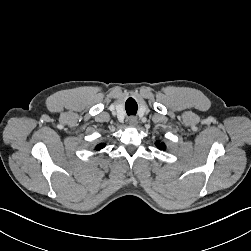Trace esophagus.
I'll return each mask as SVG.
<instances>
[{
    "mask_svg": "<svg viewBox=\"0 0 251 251\" xmlns=\"http://www.w3.org/2000/svg\"><path fill=\"white\" fill-rule=\"evenodd\" d=\"M128 123L130 126L136 127L138 125V120L136 117L132 116L129 118Z\"/></svg>",
    "mask_w": 251,
    "mask_h": 251,
    "instance_id": "1",
    "label": "esophagus"
}]
</instances>
